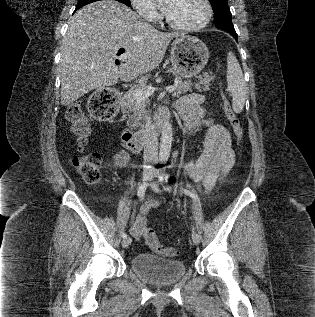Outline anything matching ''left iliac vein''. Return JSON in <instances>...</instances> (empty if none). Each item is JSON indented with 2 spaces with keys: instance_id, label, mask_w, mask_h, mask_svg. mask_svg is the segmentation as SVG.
<instances>
[{
  "instance_id": "4c4485c4",
  "label": "left iliac vein",
  "mask_w": 315,
  "mask_h": 317,
  "mask_svg": "<svg viewBox=\"0 0 315 317\" xmlns=\"http://www.w3.org/2000/svg\"><path fill=\"white\" fill-rule=\"evenodd\" d=\"M155 175H156V174H155ZM154 185H157V183H156V182H153L152 187H153ZM153 189H154V188H153ZM192 240H193L194 244H196V245H198V244L200 243V235H199L196 231H193V232H192Z\"/></svg>"
}]
</instances>
